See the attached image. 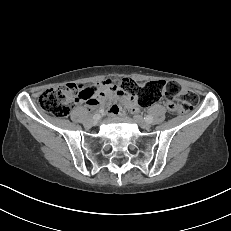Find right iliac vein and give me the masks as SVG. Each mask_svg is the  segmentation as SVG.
Returning a JSON list of instances; mask_svg holds the SVG:
<instances>
[{
    "label": "right iliac vein",
    "mask_w": 231,
    "mask_h": 231,
    "mask_svg": "<svg viewBox=\"0 0 231 231\" xmlns=\"http://www.w3.org/2000/svg\"><path fill=\"white\" fill-rule=\"evenodd\" d=\"M99 120H100V115L98 114L96 118L86 121L85 126L87 127L93 126Z\"/></svg>",
    "instance_id": "obj_1"
}]
</instances>
